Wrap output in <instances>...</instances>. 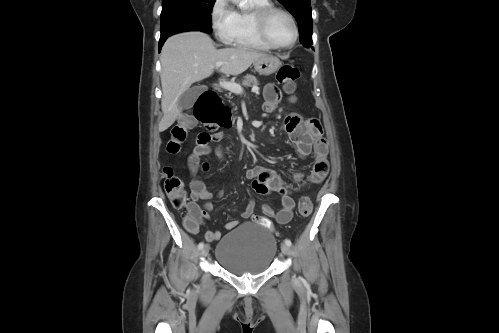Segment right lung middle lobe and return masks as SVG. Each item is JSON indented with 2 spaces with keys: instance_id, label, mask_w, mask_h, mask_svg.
<instances>
[{
  "instance_id": "dd1d6c3e",
  "label": "right lung middle lobe",
  "mask_w": 499,
  "mask_h": 333,
  "mask_svg": "<svg viewBox=\"0 0 499 333\" xmlns=\"http://www.w3.org/2000/svg\"><path fill=\"white\" fill-rule=\"evenodd\" d=\"M215 0H162L161 38L185 31H212Z\"/></svg>"
}]
</instances>
